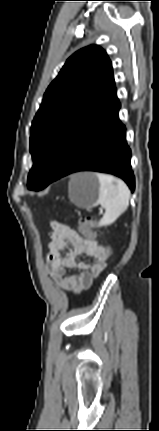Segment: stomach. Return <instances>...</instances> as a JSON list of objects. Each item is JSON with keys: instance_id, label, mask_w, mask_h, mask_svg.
Segmentation results:
<instances>
[{"instance_id": "1", "label": "stomach", "mask_w": 159, "mask_h": 431, "mask_svg": "<svg viewBox=\"0 0 159 431\" xmlns=\"http://www.w3.org/2000/svg\"><path fill=\"white\" fill-rule=\"evenodd\" d=\"M100 183L95 173L82 172L72 176L69 196L80 208H89L99 202Z\"/></svg>"}]
</instances>
